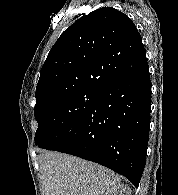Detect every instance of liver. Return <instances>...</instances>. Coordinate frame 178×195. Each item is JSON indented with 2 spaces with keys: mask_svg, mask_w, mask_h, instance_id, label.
I'll list each match as a JSON object with an SVG mask.
<instances>
[{
  "mask_svg": "<svg viewBox=\"0 0 178 195\" xmlns=\"http://www.w3.org/2000/svg\"><path fill=\"white\" fill-rule=\"evenodd\" d=\"M39 164L43 195H103L120 182L111 170L67 154L43 152Z\"/></svg>",
  "mask_w": 178,
  "mask_h": 195,
  "instance_id": "1",
  "label": "liver"
}]
</instances>
